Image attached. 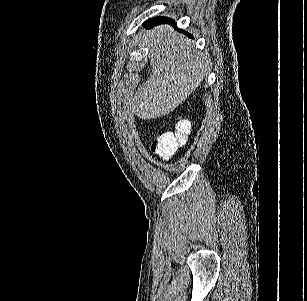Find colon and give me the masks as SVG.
Returning a JSON list of instances; mask_svg holds the SVG:
<instances>
[{
	"mask_svg": "<svg viewBox=\"0 0 307 301\" xmlns=\"http://www.w3.org/2000/svg\"><path fill=\"white\" fill-rule=\"evenodd\" d=\"M190 122L186 119H180L177 122L175 132H169L160 135L153 142V150L162 155L169 156L186 142V137L190 132Z\"/></svg>",
	"mask_w": 307,
	"mask_h": 301,
	"instance_id": "obj_1",
	"label": "colon"
}]
</instances>
